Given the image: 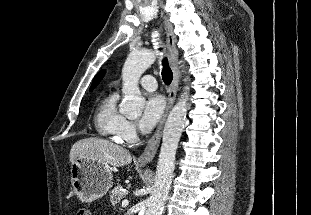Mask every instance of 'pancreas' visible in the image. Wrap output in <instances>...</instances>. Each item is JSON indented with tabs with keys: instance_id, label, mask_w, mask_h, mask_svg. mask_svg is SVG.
<instances>
[{
	"instance_id": "1",
	"label": "pancreas",
	"mask_w": 311,
	"mask_h": 215,
	"mask_svg": "<svg viewBox=\"0 0 311 215\" xmlns=\"http://www.w3.org/2000/svg\"><path fill=\"white\" fill-rule=\"evenodd\" d=\"M121 188L122 187L120 185L116 186L110 194V202L112 203L113 206L117 205L120 202V200L124 198L127 194V192L122 191Z\"/></svg>"
}]
</instances>
